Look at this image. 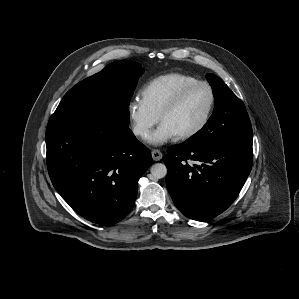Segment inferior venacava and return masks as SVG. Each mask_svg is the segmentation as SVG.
<instances>
[{"mask_svg":"<svg viewBox=\"0 0 299 299\" xmlns=\"http://www.w3.org/2000/svg\"><path fill=\"white\" fill-rule=\"evenodd\" d=\"M133 132L135 135H145L147 133V130L143 127L136 126L134 127Z\"/></svg>","mask_w":299,"mask_h":299,"instance_id":"inferior-vena-cava-1","label":"inferior vena cava"}]
</instances>
